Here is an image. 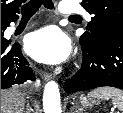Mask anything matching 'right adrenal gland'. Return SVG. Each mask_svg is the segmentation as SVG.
I'll use <instances>...</instances> for the list:
<instances>
[{
  "mask_svg": "<svg viewBox=\"0 0 123 113\" xmlns=\"http://www.w3.org/2000/svg\"><path fill=\"white\" fill-rule=\"evenodd\" d=\"M27 112H28V113H31V112H33V109H32L31 107H29V108L27 109Z\"/></svg>",
  "mask_w": 123,
  "mask_h": 113,
  "instance_id": "obj_1",
  "label": "right adrenal gland"
}]
</instances>
